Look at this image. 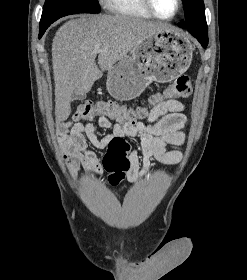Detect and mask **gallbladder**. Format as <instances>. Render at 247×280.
<instances>
[{
	"label": "gallbladder",
	"instance_id": "gallbladder-1",
	"mask_svg": "<svg viewBox=\"0 0 247 280\" xmlns=\"http://www.w3.org/2000/svg\"><path fill=\"white\" fill-rule=\"evenodd\" d=\"M85 97L84 96H73V99L72 100H74V99H84Z\"/></svg>",
	"mask_w": 247,
	"mask_h": 280
}]
</instances>
